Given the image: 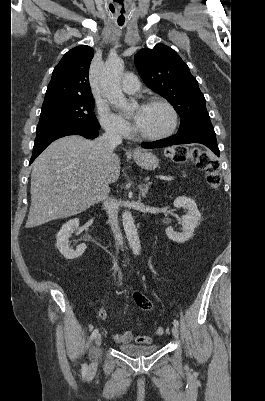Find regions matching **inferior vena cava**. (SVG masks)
I'll return each instance as SVG.
<instances>
[{"label": "inferior vena cava", "mask_w": 265, "mask_h": 401, "mask_svg": "<svg viewBox=\"0 0 265 401\" xmlns=\"http://www.w3.org/2000/svg\"><path fill=\"white\" fill-rule=\"evenodd\" d=\"M101 140L107 142L108 150H113L117 144H121L122 136L117 124H107V126H105V132L103 136H101ZM108 192L109 186L108 184H104V186L100 188V196L106 209V213L109 217L108 223L113 231L116 243H118V245L124 249L123 237L118 221L119 203L116 201V198H110Z\"/></svg>", "instance_id": "602c4592"}]
</instances>
